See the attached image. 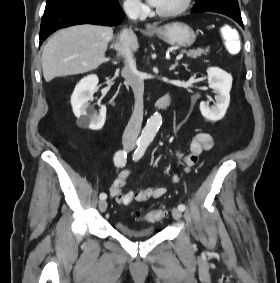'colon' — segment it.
<instances>
[{
  "label": "colon",
  "instance_id": "5ec220e1",
  "mask_svg": "<svg viewBox=\"0 0 280 283\" xmlns=\"http://www.w3.org/2000/svg\"><path fill=\"white\" fill-rule=\"evenodd\" d=\"M220 33L223 37L219 38L220 42H227L226 51H229V55H240V37L241 32H238V25H224L221 28ZM165 215V209L160 208L147 212L143 218L148 222H155L160 220Z\"/></svg>",
  "mask_w": 280,
  "mask_h": 283
}]
</instances>
